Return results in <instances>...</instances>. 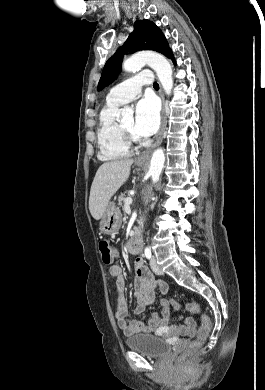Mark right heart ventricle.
<instances>
[{
  "label": "right heart ventricle",
  "instance_id": "1",
  "mask_svg": "<svg viewBox=\"0 0 265 390\" xmlns=\"http://www.w3.org/2000/svg\"><path fill=\"white\" fill-rule=\"evenodd\" d=\"M119 106L107 101L99 115L98 156L103 161H116L130 155V146L125 142L116 119Z\"/></svg>",
  "mask_w": 265,
  "mask_h": 390
}]
</instances>
